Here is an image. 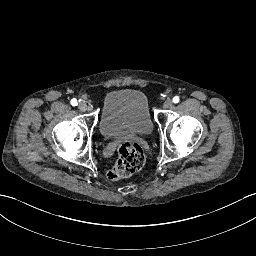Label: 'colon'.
<instances>
[{
  "label": "colon",
  "mask_w": 256,
  "mask_h": 256,
  "mask_svg": "<svg viewBox=\"0 0 256 256\" xmlns=\"http://www.w3.org/2000/svg\"><path fill=\"white\" fill-rule=\"evenodd\" d=\"M145 161L146 157L142 147L133 141H126L119 146L117 161L114 167L106 173V178L115 181L129 177L139 171Z\"/></svg>",
  "instance_id": "1"
}]
</instances>
